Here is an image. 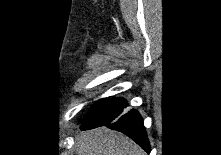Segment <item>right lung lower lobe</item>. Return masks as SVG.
Here are the masks:
<instances>
[{"label": "right lung lower lobe", "mask_w": 221, "mask_h": 155, "mask_svg": "<svg viewBox=\"0 0 221 155\" xmlns=\"http://www.w3.org/2000/svg\"><path fill=\"white\" fill-rule=\"evenodd\" d=\"M127 103L124 99H102L98 108L81 124V130L106 126L120 131L150 152L143 120L136 110L124 112Z\"/></svg>", "instance_id": "98d812e1"}]
</instances>
